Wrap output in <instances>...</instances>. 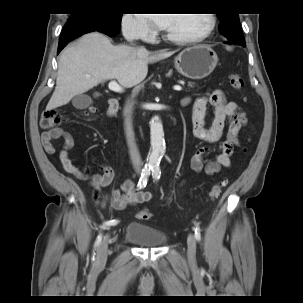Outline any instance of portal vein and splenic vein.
Instances as JSON below:
<instances>
[{"label":"portal vein and splenic vein","instance_id":"18ae733b","mask_svg":"<svg viewBox=\"0 0 303 303\" xmlns=\"http://www.w3.org/2000/svg\"><path fill=\"white\" fill-rule=\"evenodd\" d=\"M108 88L111 91L116 92V93H122L123 92V88L116 81H110V83L108 84ZM174 90L181 91L182 87L180 85H175Z\"/></svg>","mask_w":303,"mask_h":303}]
</instances>
